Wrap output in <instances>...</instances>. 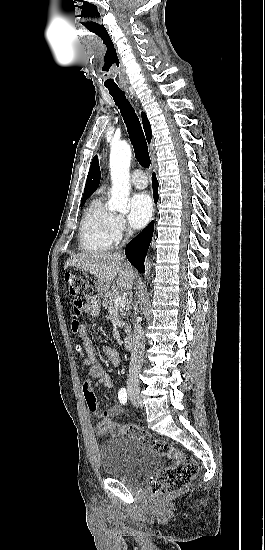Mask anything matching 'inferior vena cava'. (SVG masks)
I'll return each instance as SVG.
<instances>
[{
	"label": "inferior vena cava",
	"instance_id": "1",
	"mask_svg": "<svg viewBox=\"0 0 265 550\" xmlns=\"http://www.w3.org/2000/svg\"><path fill=\"white\" fill-rule=\"evenodd\" d=\"M127 240V239H126ZM131 361L129 366L128 382L138 384V376L143 365L145 335L142 326L136 322L134 324V334L132 341Z\"/></svg>",
	"mask_w": 265,
	"mask_h": 550
}]
</instances>
